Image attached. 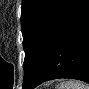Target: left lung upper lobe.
I'll use <instances>...</instances> for the list:
<instances>
[{"instance_id":"obj_1","label":"left lung upper lobe","mask_w":89,"mask_h":89,"mask_svg":"<svg viewBox=\"0 0 89 89\" xmlns=\"http://www.w3.org/2000/svg\"><path fill=\"white\" fill-rule=\"evenodd\" d=\"M73 0H23L22 34L25 49L24 88L36 76L51 37Z\"/></svg>"}]
</instances>
